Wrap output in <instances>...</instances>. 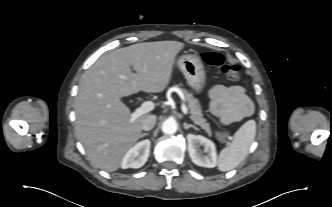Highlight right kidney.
<instances>
[{
    "label": "right kidney",
    "instance_id": "ca27d5eb",
    "mask_svg": "<svg viewBox=\"0 0 332 207\" xmlns=\"http://www.w3.org/2000/svg\"><path fill=\"white\" fill-rule=\"evenodd\" d=\"M150 146L151 143L147 139L140 141L135 146L130 148L122 159L121 168L127 169L142 167L149 157Z\"/></svg>",
    "mask_w": 332,
    "mask_h": 207
}]
</instances>
